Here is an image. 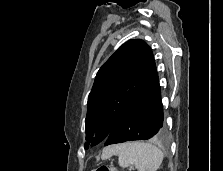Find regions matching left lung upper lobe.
Instances as JSON below:
<instances>
[{"label":"left lung upper lobe","mask_w":223,"mask_h":171,"mask_svg":"<svg viewBox=\"0 0 223 171\" xmlns=\"http://www.w3.org/2000/svg\"><path fill=\"white\" fill-rule=\"evenodd\" d=\"M155 67L150 47L135 39L124 43L99 69L88 97L85 149L107 139Z\"/></svg>","instance_id":"1"}]
</instances>
